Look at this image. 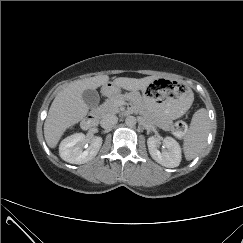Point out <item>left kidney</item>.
<instances>
[{"mask_svg": "<svg viewBox=\"0 0 243 243\" xmlns=\"http://www.w3.org/2000/svg\"><path fill=\"white\" fill-rule=\"evenodd\" d=\"M167 148L166 151L158 150L159 144ZM148 150L151 157L162 166L174 168L181 162V148L178 142L172 137L162 138L160 136H151L147 140Z\"/></svg>", "mask_w": 243, "mask_h": 243, "instance_id": "obj_1", "label": "left kidney"}]
</instances>
